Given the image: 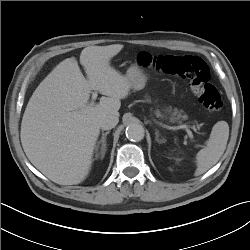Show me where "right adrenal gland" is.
Segmentation results:
<instances>
[{
	"mask_svg": "<svg viewBox=\"0 0 250 250\" xmlns=\"http://www.w3.org/2000/svg\"><path fill=\"white\" fill-rule=\"evenodd\" d=\"M109 133H110V131H107V132L103 133V134H102L101 140L97 143V146H96V151H97L98 148H99V145L102 144V146H101V152H100V154H101V157H100V158H101V159L104 158L105 152H106V150H107L106 136H107ZM97 157H98V156H97Z\"/></svg>",
	"mask_w": 250,
	"mask_h": 250,
	"instance_id": "2a0ac1e0",
	"label": "right adrenal gland"
}]
</instances>
